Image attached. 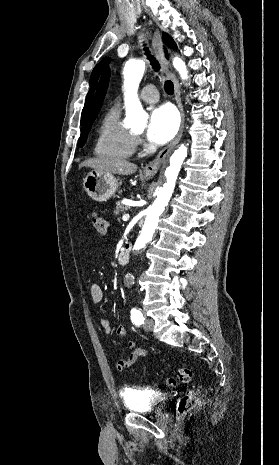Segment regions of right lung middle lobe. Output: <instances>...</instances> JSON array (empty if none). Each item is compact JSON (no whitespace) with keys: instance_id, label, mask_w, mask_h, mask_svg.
I'll list each match as a JSON object with an SVG mask.
<instances>
[{"instance_id":"1","label":"right lung middle lobe","mask_w":279,"mask_h":465,"mask_svg":"<svg viewBox=\"0 0 279 465\" xmlns=\"http://www.w3.org/2000/svg\"><path fill=\"white\" fill-rule=\"evenodd\" d=\"M91 127L81 132L80 138L78 140V147H83L85 141L87 140L88 132Z\"/></svg>"}]
</instances>
